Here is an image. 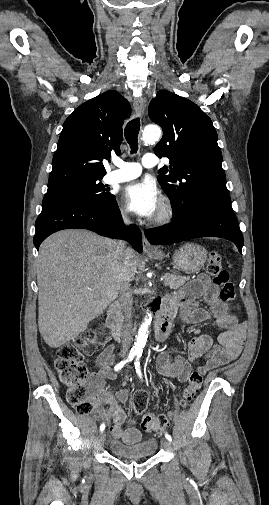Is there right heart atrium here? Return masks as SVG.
I'll list each match as a JSON object with an SVG mask.
<instances>
[{"instance_id": "right-heart-atrium-1", "label": "right heart atrium", "mask_w": 269, "mask_h": 505, "mask_svg": "<svg viewBox=\"0 0 269 505\" xmlns=\"http://www.w3.org/2000/svg\"><path fill=\"white\" fill-rule=\"evenodd\" d=\"M120 216L122 219L127 220L129 218V212L124 207L120 208Z\"/></svg>"}]
</instances>
